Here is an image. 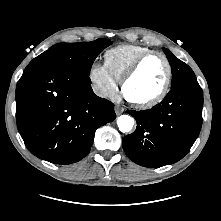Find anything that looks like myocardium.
<instances>
[{
  "label": "myocardium",
  "mask_w": 221,
  "mask_h": 221,
  "mask_svg": "<svg viewBox=\"0 0 221 221\" xmlns=\"http://www.w3.org/2000/svg\"><path fill=\"white\" fill-rule=\"evenodd\" d=\"M151 56H159L162 58V60L165 63L166 77H165L164 84H163L161 90L155 96H153L149 99H146V100H142V101L134 100L127 95L126 86H127L128 82L139 71L143 62ZM172 76H173L172 64H171L169 58L167 57V55L161 51L149 50V51L141 54L134 61V63L130 66V68L126 71V73L124 74V76L121 80L122 93H123L125 99L137 108L147 109V108L153 107V106L159 104L160 102H162L165 99V97L168 95L170 87H171V83H172Z\"/></svg>",
  "instance_id": "1"
}]
</instances>
